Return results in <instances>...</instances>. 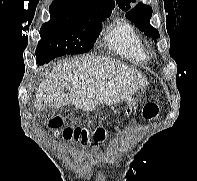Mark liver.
Returning a JSON list of instances; mask_svg holds the SVG:
<instances>
[{"label": "liver", "instance_id": "obj_1", "mask_svg": "<svg viewBox=\"0 0 197 181\" xmlns=\"http://www.w3.org/2000/svg\"><path fill=\"white\" fill-rule=\"evenodd\" d=\"M148 84L143 75L109 57L82 56L63 60L40 84L35 108L72 105L93 111L97 105L118 104ZM70 85L69 93L64 88Z\"/></svg>", "mask_w": 197, "mask_h": 181}]
</instances>
